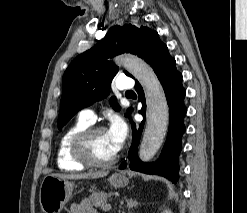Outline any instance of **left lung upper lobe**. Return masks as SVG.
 <instances>
[{"label":"left lung upper lobe","instance_id":"1","mask_svg":"<svg viewBox=\"0 0 247 213\" xmlns=\"http://www.w3.org/2000/svg\"><path fill=\"white\" fill-rule=\"evenodd\" d=\"M125 52L138 55L152 68L170 56L158 33L148 27L125 24L110 28L101 41L77 56L66 69L58 116L59 129L80 109L109 95L118 67L107 59ZM125 74L132 77L126 71ZM110 105L116 111L120 110L115 97L110 99ZM131 111V108L128 109V113Z\"/></svg>","mask_w":247,"mask_h":213}]
</instances>
